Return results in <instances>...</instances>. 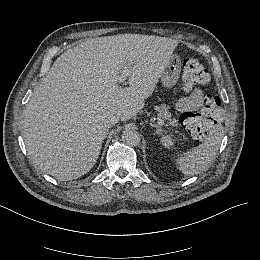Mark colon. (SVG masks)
I'll use <instances>...</instances> for the list:
<instances>
[{"mask_svg": "<svg viewBox=\"0 0 260 260\" xmlns=\"http://www.w3.org/2000/svg\"><path fill=\"white\" fill-rule=\"evenodd\" d=\"M184 82L185 91L190 92L197 85H204L210 80V74L203 64L196 58H188L184 62ZM182 123L187 131L198 136L206 128L209 122V115L203 110H187L182 116Z\"/></svg>", "mask_w": 260, "mask_h": 260, "instance_id": "colon-1", "label": "colon"}]
</instances>
